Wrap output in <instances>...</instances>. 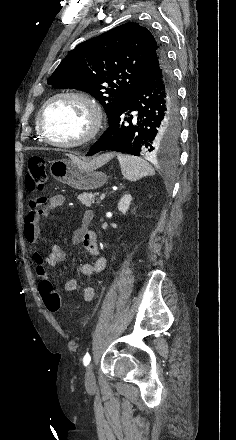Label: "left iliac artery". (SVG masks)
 Here are the masks:
<instances>
[{
	"mask_svg": "<svg viewBox=\"0 0 236 440\" xmlns=\"http://www.w3.org/2000/svg\"><path fill=\"white\" fill-rule=\"evenodd\" d=\"M91 357L90 355L87 353L84 358H83V364L84 366H87L90 363Z\"/></svg>",
	"mask_w": 236,
	"mask_h": 440,
	"instance_id": "left-iliac-artery-1",
	"label": "left iliac artery"
}]
</instances>
